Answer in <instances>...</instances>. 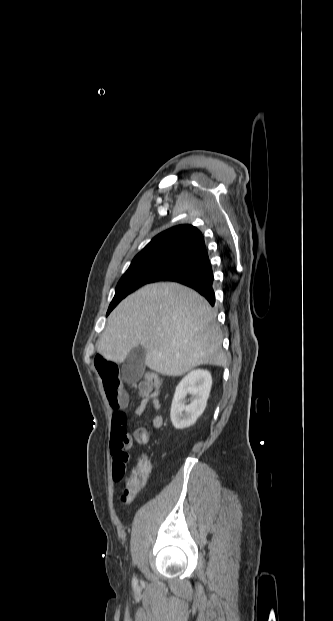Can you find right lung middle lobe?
I'll use <instances>...</instances> for the list:
<instances>
[{"mask_svg":"<svg viewBox=\"0 0 333 621\" xmlns=\"http://www.w3.org/2000/svg\"><path fill=\"white\" fill-rule=\"evenodd\" d=\"M184 260L169 257L131 263L115 289V296L109 305L107 315L128 294L145 284L161 281L164 276L176 270Z\"/></svg>","mask_w":333,"mask_h":621,"instance_id":"1","label":"right lung middle lobe"}]
</instances>
